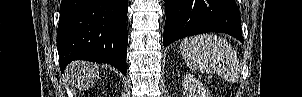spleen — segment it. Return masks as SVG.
I'll list each match as a JSON object with an SVG mask.
<instances>
[{"mask_svg":"<svg viewBox=\"0 0 302 97\" xmlns=\"http://www.w3.org/2000/svg\"><path fill=\"white\" fill-rule=\"evenodd\" d=\"M180 51L187 66L193 71L217 74L232 83L239 79L237 53L222 37L212 34L195 35L182 41Z\"/></svg>","mask_w":302,"mask_h":97,"instance_id":"spleen-1","label":"spleen"}]
</instances>
